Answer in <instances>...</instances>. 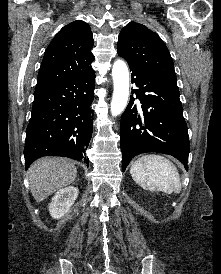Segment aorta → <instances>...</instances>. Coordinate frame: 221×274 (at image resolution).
Returning a JSON list of instances; mask_svg holds the SVG:
<instances>
[{
  "mask_svg": "<svg viewBox=\"0 0 221 274\" xmlns=\"http://www.w3.org/2000/svg\"><path fill=\"white\" fill-rule=\"evenodd\" d=\"M114 91L111 101V114L118 116L127 106L129 96V72L126 63L116 60L112 68Z\"/></svg>",
  "mask_w": 221,
  "mask_h": 274,
  "instance_id": "obj_1",
  "label": "aorta"
}]
</instances>
